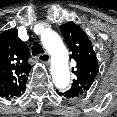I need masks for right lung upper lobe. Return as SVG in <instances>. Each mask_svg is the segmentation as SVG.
I'll return each mask as SVG.
<instances>
[{"instance_id":"cb5924a9","label":"right lung upper lobe","mask_w":117,"mask_h":117,"mask_svg":"<svg viewBox=\"0 0 117 117\" xmlns=\"http://www.w3.org/2000/svg\"><path fill=\"white\" fill-rule=\"evenodd\" d=\"M29 49L12 28L0 34V97L10 100L25 91L31 65Z\"/></svg>"}]
</instances>
